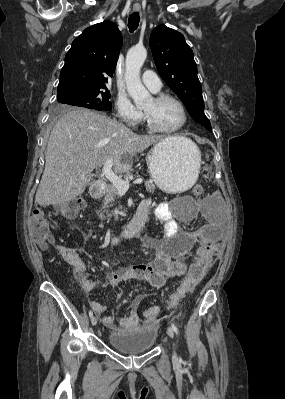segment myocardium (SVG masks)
<instances>
[{
  "label": "myocardium",
  "instance_id": "obj_1",
  "mask_svg": "<svg viewBox=\"0 0 285 399\" xmlns=\"http://www.w3.org/2000/svg\"><path fill=\"white\" fill-rule=\"evenodd\" d=\"M153 99L157 103H160V102H163L166 100H171V101H174L175 103H177L182 111L183 120L176 127L163 128V127L158 126L147 112L143 111L145 123L151 131L157 132V133H174V132L179 131L180 129H182L185 126V124L187 123V120H188L187 110H186L184 103L179 98H177L173 95L167 94V93H160V94L155 95L153 97Z\"/></svg>",
  "mask_w": 285,
  "mask_h": 399
}]
</instances>
